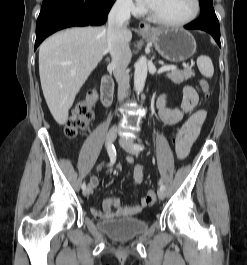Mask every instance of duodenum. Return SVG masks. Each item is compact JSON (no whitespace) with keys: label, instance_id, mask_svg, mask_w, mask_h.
Instances as JSON below:
<instances>
[{"label":"duodenum","instance_id":"410a0bca","mask_svg":"<svg viewBox=\"0 0 247 265\" xmlns=\"http://www.w3.org/2000/svg\"><path fill=\"white\" fill-rule=\"evenodd\" d=\"M113 89V80L110 77L105 76L101 85V99L104 106H108L111 103Z\"/></svg>","mask_w":247,"mask_h":265}]
</instances>
